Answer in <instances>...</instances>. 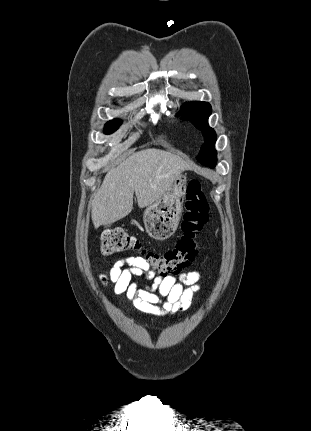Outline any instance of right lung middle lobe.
<instances>
[{"mask_svg": "<svg viewBox=\"0 0 311 431\" xmlns=\"http://www.w3.org/2000/svg\"><path fill=\"white\" fill-rule=\"evenodd\" d=\"M121 125V121L119 120H112L106 123L104 133L110 134L113 133L118 129V127Z\"/></svg>", "mask_w": 311, "mask_h": 431, "instance_id": "1", "label": "right lung middle lobe"}]
</instances>
